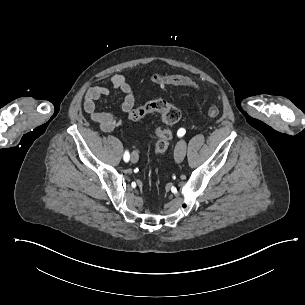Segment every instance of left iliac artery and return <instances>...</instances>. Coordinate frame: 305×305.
<instances>
[{
	"label": "left iliac artery",
	"instance_id": "left-iliac-artery-1",
	"mask_svg": "<svg viewBox=\"0 0 305 305\" xmlns=\"http://www.w3.org/2000/svg\"><path fill=\"white\" fill-rule=\"evenodd\" d=\"M177 134H178V136H183L185 134V129H183V128L179 129Z\"/></svg>",
	"mask_w": 305,
	"mask_h": 305
}]
</instances>
